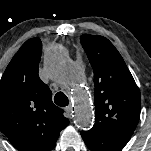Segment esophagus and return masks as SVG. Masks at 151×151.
<instances>
[{"instance_id": "esophagus-1", "label": "esophagus", "mask_w": 151, "mask_h": 151, "mask_svg": "<svg viewBox=\"0 0 151 151\" xmlns=\"http://www.w3.org/2000/svg\"><path fill=\"white\" fill-rule=\"evenodd\" d=\"M66 112L71 115V112H72V107L69 105L65 108Z\"/></svg>"}]
</instances>
